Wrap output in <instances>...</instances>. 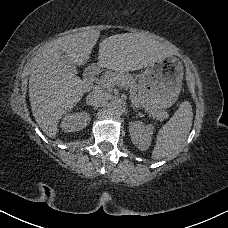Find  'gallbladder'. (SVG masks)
Listing matches in <instances>:
<instances>
[{
	"mask_svg": "<svg viewBox=\"0 0 228 228\" xmlns=\"http://www.w3.org/2000/svg\"><path fill=\"white\" fill-rule=\"evenodd\" d=\"M59 52L61 53L62 59H63L64 61H67V64H68L69 66H71L72 71H73V72H76L75 66L72 65V64L70 63L69 58L64 54V52H62V51H59Z\"/></svg>",
	"mask_w": 228,
	"mask_h": 228,
	"instance_id": "gallbladder-1",
	"label": "gallbladder"
}]
</instances>
